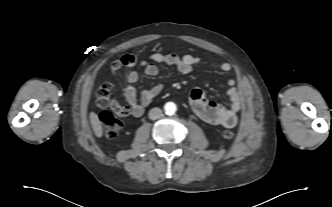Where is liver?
<instances>
[{"label":"liver","instance_id":"liver-1","mask_svg":"<svg viewBox=\"0 0 332 207\" xmlns=\"http://www.w3.org/2000/svg\"><path fill=\"white\" fill-rule=\"evenodd\" d=\"M89 117H90V123L92 125V129H93L95 135L98 138H101L103 135V129H102V124H101V121H100L98 115L94 112H91Z\"/></svg>","mask_w":332,"mask_h":207}]
</instances>
